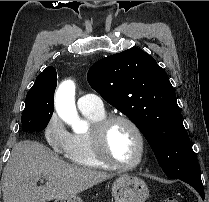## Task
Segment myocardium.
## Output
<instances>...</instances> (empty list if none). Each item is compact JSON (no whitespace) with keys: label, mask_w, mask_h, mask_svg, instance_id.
I'll use <instances>...</instances> for the list:
<instances>
[{"label":"myocardium","mask_w":209,"mask_h":202,"mask_svg":"<svg viewBox=\"0 0 209 202\" xmlns=\"http://www.w3.org/2000/svg\"><path fill=\"white\" fill-rule=\"evenodd\" d=\"M117 122H123L128 124L138 137L139 155L138 159L133 164L124 165L119 162H116L111 158V156L108 153L106 145L107 134L111 126ZM91 139L96 156L105 166L109 168L119 171H132L139 168L145 159L147 147L145 135L140 126L133 119L126 115H110L100 120L93 126L91 130Z\"/></svg>","instance_id":"f54148a6"}]
</instances>
